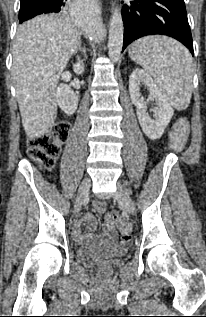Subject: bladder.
<instances>
[{"label":"bladder","instance_id":"1","mask_svg":"<svg viewBox=\"0 0 206 317\" xmlns=\"http://www.w3.org/2000/svg\"><path fill=\"white\" fill-rule=\"evenodd\" d=\"M127 253L128 248L126 245L100 238L79 247L76 252V257L80 261H91L102 258H120L127 255Z\"/></svg>","mask_w":206,"mask_h":317}]
</instances>
